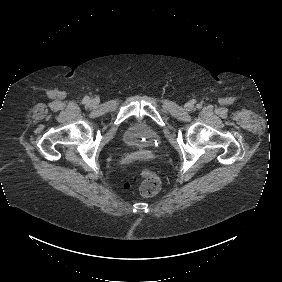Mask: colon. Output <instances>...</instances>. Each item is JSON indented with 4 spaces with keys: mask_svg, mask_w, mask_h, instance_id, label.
Here are the masks:
<instances>
[{
    "mask_svg": "<svg viewBox=\"0 0 282 282\" xmlns=\"http://www.w3.org/2000/svg\"><path fill=\"white\" fill-rule=\"evenodd\" d=\"M161 187V179L153 170H145L142 174V182L139 191L143 196H154Z\"/></svg>",
    "mask_w": 282,
    "mask_h": 282,
    "instance_id": "colon-1",
    "label": "colon"
}]
</instances>
